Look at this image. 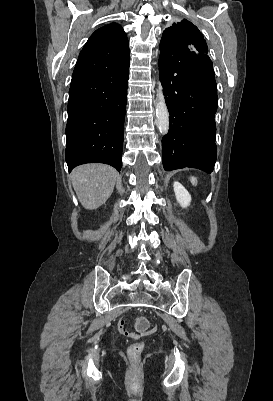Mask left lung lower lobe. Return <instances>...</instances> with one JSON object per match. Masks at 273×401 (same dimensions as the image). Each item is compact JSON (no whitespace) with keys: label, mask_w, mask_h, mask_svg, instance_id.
Masks as SVG:
<instances>
[{"label":"left lung lower lobe","mask_w":273,"mask_h":401,"mask_svg":"<svg viewBox=\"0 0 273 401\" xmlns=\"http://www.w3.org/2000/svg\"><path fill=\"white\" fill-rule=\"evenodd\" d=\"M159 72L170 114L169 133L162 138L164 169L192 167L211 173L218 103L212 61L190 48L160 44Z\"/></svg>","instance_id":"left-lung-lower-lobe-1"}]
</instances>
